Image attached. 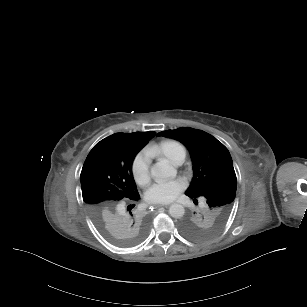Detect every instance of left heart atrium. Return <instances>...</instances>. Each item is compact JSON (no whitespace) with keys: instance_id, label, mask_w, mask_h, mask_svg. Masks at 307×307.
Listing matches in <instances>:
<instances>
[{"instance_id":"left-heart-atrium-1","label":"left heart atrium","mask_w":307,"mask_h":307,"mask_svg":"<svg viewBox=\"0 0 307 307\" xmlns=\"http://www.w3.org/2000/svg\"><path fill=\"white\" fill-rule=\"evenodd\" d=\"M181 191V184L178 181H158L150 184L145 197L153 204H167L173 201Z\"/></svg>"}]
</instances>
